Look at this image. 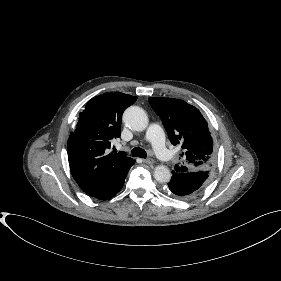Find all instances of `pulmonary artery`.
<instances>
[{
  "mask_svg": "<svg viewBox=\"0 0 281 281\" xmlns=\"http://www.w3.org/2000/svg\"><path fill=\"white\" fill-rule=\"evenodd\" d=\"M146 140H148L156 155L165 161L173 159V154L166 148L164 132L159 124H151L146 131Z\"/></svg>",
  "mask_w": 281,
  "mask_h": 281,
  "instance_id": "e3ab8cb5",
  "label": "pulmonary artery"
}]
</instances>
